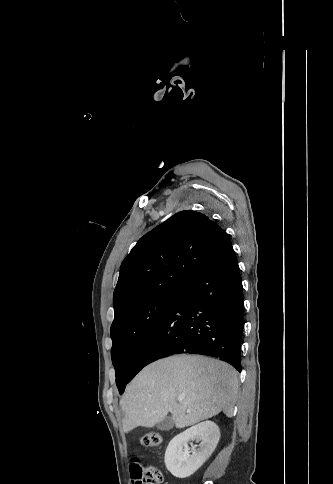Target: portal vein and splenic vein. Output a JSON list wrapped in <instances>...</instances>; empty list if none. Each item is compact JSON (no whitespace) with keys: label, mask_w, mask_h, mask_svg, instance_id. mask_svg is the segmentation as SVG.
I'll return each instance as SVG.
<instances>
[{"label":"portal vein and splenic vein","mask_w":333,"mask_h":484,"mask_svg":"<svg viewBox=\"0 0 333 484\" xmlns=\"http://www.w3.org/2000/svg\"><path fill=\"white\" fill-rule=\"evenodd\" d=\"M183 399H184V397H182V396H179V397H178V401H179V402H181Z\"/></svg>","instance_id":"1"}]
</instances>
